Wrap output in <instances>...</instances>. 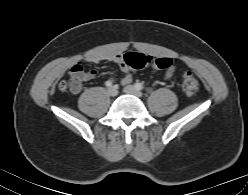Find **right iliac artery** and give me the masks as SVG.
<instances>
[{"label":"right iliac artery","instance_id":"right-iliac-artery-1","mask_svg":"<svg viewBox=\"0 0 248 195\" xmlns=\"http://www.w3.org/2000/svg\"><path fill=\"white\" fill-rule=\"evenodd\" d=\"M105 85H106L107 87H111V86H112V82H111V81H106V82H105Z\"/></svg>","mask_w":248,"mask_h":195}]
</instances>
